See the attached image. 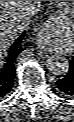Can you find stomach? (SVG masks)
<instances>
[{
    "label": "stomach",
    "mask_w": 74,
    "mask_h": 122,
    "mask_svg": "<svg viewBox=\"0 0 74 122\" xmlns=\"http://www.w3.org/2000/svg\"><path fill=\"white\" fill-rule=\"evenodd\" d=\"M53 34L60 37H63L64 35L70 37L72 35V31L69 30V28H67L66 30L65 29L59 30L58 26L54 29ZM52 44L55 45V41H52Z\"/></svg>",
    "instance_id": "obj_1"
}]
</instances>
